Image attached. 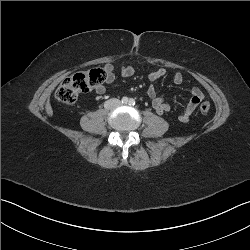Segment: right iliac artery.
I'll use <instances>...</instances> for the list:
<instances>
[{
  "label": "right iliac artery",
  "instance_id": "right-iliac-artery-1",
  "mask_svg": "<svg viewBox=\"0 0 250 250\" xmlns=\"http://www.w3.org/2000/svg\"><path fill=\"white\" fill-rule=\"evenodd\" d=\"M122 103L123 104H127L128 103V98L127 97H123L122 98Z\"/></svg>",
  "mask_w": 250,
  "mask_h": 250
}]
</instances>
